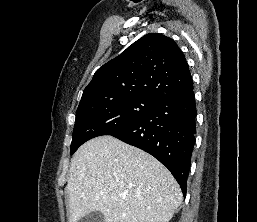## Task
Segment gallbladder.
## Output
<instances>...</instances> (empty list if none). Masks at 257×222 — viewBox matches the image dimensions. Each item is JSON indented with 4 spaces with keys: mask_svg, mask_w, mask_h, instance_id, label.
Returning <instances> with one entry per match:
<instances>
[{
    "mask_svg": "<svg viewBox=\"0 0 257 222\" xmlns=\"http://www.w3.org/2000/svg\"><path fill=\"white\" fill-rule=\"evenodd\" d=\"M79 222H105V218L100 211H93L82 217Z\"/></svg>",
    "mask_w": 257,
    "mask_h": 222,
    "instance_id": "gallbladder-1",
    "label": "gallbladder"
}]
</instances>
